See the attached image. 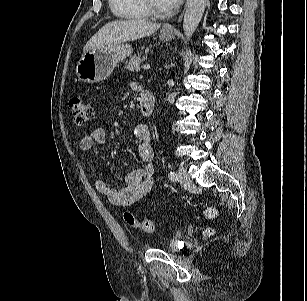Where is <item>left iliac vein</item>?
<instances>
[{"instance_id": "1", "label": "left iliac vein", "mask_w": 307, "mask_h": 301, "mask_svg": "<svg viewBox=\"0 0 307 301\" xmlns=\"http://www.w3.org/2000/svg\"><path fill=\"white\" fill-rule=\"evenodd\" d=\"M178 174H179V181L181 185H183L184 187H188L191 185V179L185 168L179 167Z\"/></svg>"}]
</instances>
